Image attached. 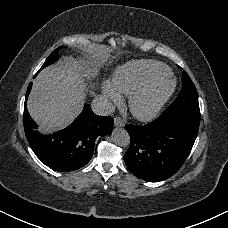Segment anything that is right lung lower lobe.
<instances>
[{"instance_id":"1","label":"right lung lower lobe","mask_w":228,"mask_h":228,"mask_svg":"<svg viewBox=\"0 0 228 228\" xmlns=\"http://www.w3.org/2000/svg\"><path fill=\"white\" fill-rule=\"evenodd\" d=\"M32 83L28 86L24 104V130L37 157L49 168L65 172L86 165L93 156L95 140L112 132V117L97 116L88 104L67 128L51 136L39 134L28 114L26 101Z\"/></svg>"}]
</instances>
